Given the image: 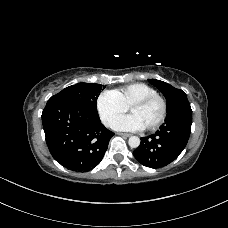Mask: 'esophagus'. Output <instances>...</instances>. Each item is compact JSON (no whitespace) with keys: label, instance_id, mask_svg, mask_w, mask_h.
Here are the masks:
<instances>
[{"label":"esophagus","instance_id":"obj_1","mask_svg":"<svg viewBox=\"0 0 228 228\" xmlns=\"http://www.w3.org/2000/svg\"><path fill=\"white\" fill-rule=\"evenodd\" d=\"M117 135H119V136H123V137H130L131 136V134H129V133H117Z\"/></svg>","mask_w":228,"mask_h":228}]
</instances>
